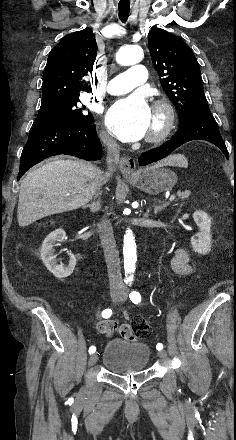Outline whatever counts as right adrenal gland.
I'll return each instance as SVG.
<instances>
[{"instance_id":"1","label":"right adrenal gland","mask_w":236,"mask_h":440,"mask_svg":"<svg viewBox=\"0 0 236 440\" xmlns=\"http://www.w3.org/2000/svg\"><path fill=\"white\" fill-rule=\"evenodd\" d=\"M87 207H89L90 211L93 212V213L99 211V209H100V199H98L96 202H93V203H91L89 205L84 206V208H87Z\"/></svg>"}]
</instances>
